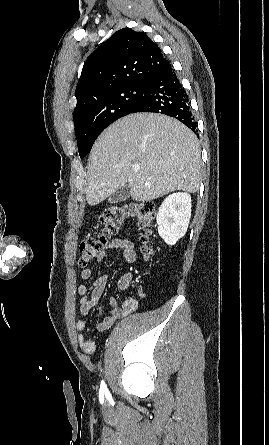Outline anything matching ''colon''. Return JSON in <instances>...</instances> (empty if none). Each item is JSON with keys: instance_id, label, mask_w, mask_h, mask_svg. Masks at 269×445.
<instances>
[{"instance_id": "1", "label": "colon", "mask_w": 269, "mask_h": 445, "mask_svg": "<svg viewBox=\"0 0 269 445\" xmlns=\"http://www.w3.org/2000/svg\"><path fill=\"white\" fill-rule=\"evenodd\" d=\"M156 209L149 201H130L110 206L98 218L96 230L89 234L79 245V265L86 267L97 259L108 239L115 235L129 220L137 222L143 243L145 257L153 256V249L148 246L149 237L155 226Z\"/></svg>"}]
</instances>
